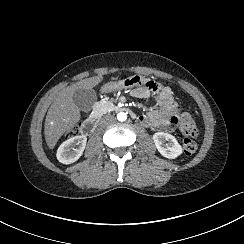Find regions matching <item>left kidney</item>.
Returning <instances> with one entry per match:
<instances>
[{
	"mask_svg": "<svg viewBox=\"0 0 244 244\" xmlns=\"http://www.w3.org/2000/svg\"><path fill=\"white\" fill-rule=\"evenodd\" d=\"M153 141L158 152L166 159L174 160L183 154V147L169 133L156 132L153 134Z\"/></svg>",
	"mask_w": 244,
	"mask_h": 244,
	"instance_id": "5707ae66",
	"label": "left kidney"
}]
</instances>
